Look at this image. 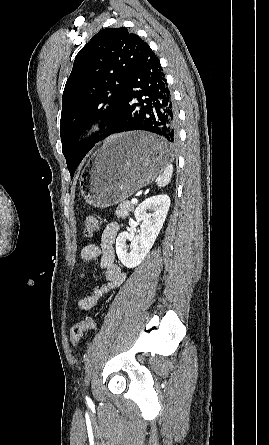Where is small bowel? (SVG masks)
Instances as JSON below:
<instances>
[{
	"label": "small bowel",
	"mask_w": 269,
	"mask_h": 445,
	"mask_svg": "<svg viewBox=\"0 0 269 445\" xmlns=\"http://www.w3.org/2000/svg\"><path fill=\"white\" fill-rule=\"evenodd\" d=\"M119 232V226L111 222L104 228L100 244H88L81 251L82 262L97 260L100 269L106 279V283L96 287L93 292L78 301V307L83 311L95 310L99 303L117 287L125 281V273L115 262L114 245ZM80 278L85 277V270L80 268Z\"/></svg>",
	"instance_id": "c3829d8e"
}]
</instances>
